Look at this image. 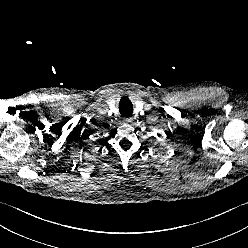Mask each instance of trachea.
I'll return each instance as SVG.
<instances>
[{"instance_id": "trachea-1", "label": "trachea", "mask_w": 248, "mask_h": 248, "mask_svg": "<svg viewBox=\"0 0 248 248\" xmlns=\"http://www.w3.org/2000/svg\"><path fill=\"white\" fill-rule=\"evenodd\" d=\"M119 111L122 116L129 117L133 113V106L129 100L122 101L119 106Z\"/></svg>"}]
</instances>
